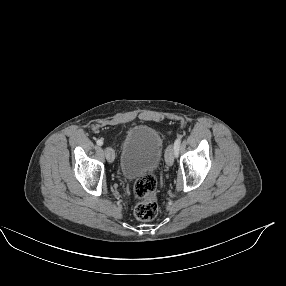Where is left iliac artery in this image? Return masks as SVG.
<instances>
[{"label":"left iliac artery","mask_w":286,"mask_h":286,"mask_svg":"<svg viewBox=\"0 0 286 286\" xmlns=\"http://www.w3.org/2000/svg\"><path fill=\"white\" fill-rule=\"evenodd\" d=\"M180 143H181V136H178L174 142V150H175L176 156L178 155V152H179Z\"/></svg>","instance_id":"1"}]
</instances>
